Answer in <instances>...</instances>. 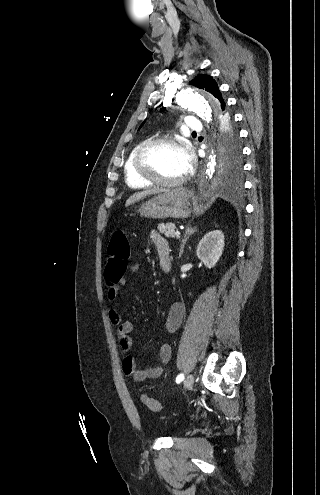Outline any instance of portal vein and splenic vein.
<instances>
[{
  "label": "portal vein and splenic vein",
  "mask_w": 320,
  "mask_h": 495,
  "mask_svg": "<svg viewBox=\"0 0 320 495\" xmlns=\"http://www.w3.org/2000/svg\"><path fill=\"white\" fill-rule=\"evenodd\" d=\"M175 235L178 237L180 235V232L179 231H176L175 232Z\"/></svg>",
  "instance_id": "18ae733b"
}]
</instances>
